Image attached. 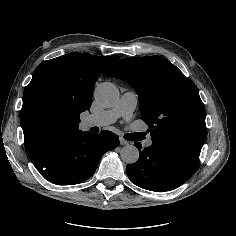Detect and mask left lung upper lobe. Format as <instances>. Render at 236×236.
I'll return each mask as SVG.
<instances>
[{
  "label": "left lung upper lobe",
  "instance_id": "left-lung-upper-lobe-1",
  "mask_svg": "<svg viewBox=\"0 0 236 236\" xmlns=\"http://www.w3.org/2000/svg\"><path fill=\"white\" fill-rule=\"evenodd\" d=\"M103 76L122 79L135 88L152 139L201 152L207 137L204 104L195 84L170 61L161 56L124 58Z\"/></svg>",
  "mask_w": 236,
  "mask_h": 236
}]
</instances>
